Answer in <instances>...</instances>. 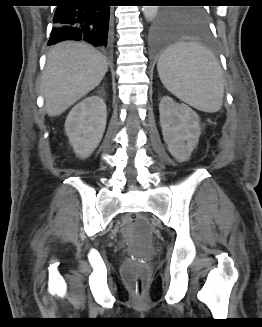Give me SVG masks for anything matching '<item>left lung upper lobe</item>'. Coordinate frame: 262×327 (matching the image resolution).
Segmentation results:
<instances>
[{
	"mask_svg": "<svg viewBox=\"0 0 262 327\" xmlns=\"http://www.w3.org/2000/svg\"><path fill=\"white\" fill-rule=\"evenodd\" d=\"M182 2H199L196 0H185ZM164 15L169 22L175 25L182 26H206V12L204 8L200 6L187 7L181 9H168L164 12Z\"/></svg>",
	"mask_w": 262,
	"mask_h": 327,
	"instance_id": "5c2ea615",
	"label": "left lung upper lobe"
}]
</instances>
